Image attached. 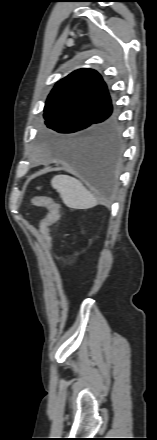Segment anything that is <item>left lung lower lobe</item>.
<instances>
[{
  "label": "left lung lower lobe",
  "mask_w": 157,
  "mask_h": 440,
  "mask_svg": "<svg viewBox=\"0 0 157 440\" xmlns=\"http://www.w3.org/2000/svg\"><path fill=\"white\" fill-rule=\"evenodd\" d=\"M123 152L121 129L114 119L99 132L69 143L65 160L103 194L114 187Z\"/></svg>",
  "instance_id": "0a47b994"
}]
</instances>
